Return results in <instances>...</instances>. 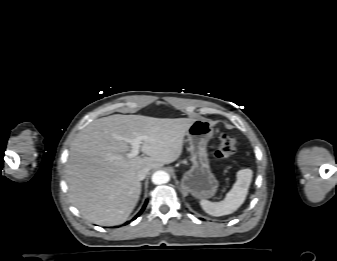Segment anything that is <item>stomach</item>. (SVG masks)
Masks as SVG:
<instances>
[{"label": "stomach", "instance_id": "0dacf381", "mask_svg": "<svg viewBox=\"0 0 337 261\" xmlns=\"http://www.w3.org/2000/svg\"><path fill=\"white\" fill-rule=\"evenodd\" d=\"M186 135L192 165L182 176L181 188L196 199L212 198L219 187L210 169L207 152V144L213 136V124L207 119H195Z\"/></svg>", "mask_w": 337, "mask_h": 261}]
</instances>
